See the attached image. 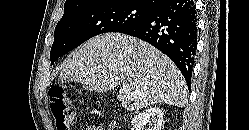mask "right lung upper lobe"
Returning a JSON list of instances; mask_svg holds the SVG:
<instances>
[{"label":"right lung upper lobe","instance_id":"1","mask_svg":"<svg viewBox=\"0 0 249 130\" xmlns=\"http://www.w3.org/2000/svg\"><path fill=\"white\" fill-rule=\"evenodd\" d=\"M107 0H66L64 4V12L69 10L78 9L87 5L95 4L104 2ZM134 2L147 5L150 8L154 9L157 7L160 3H162L165 0H132Z\"/></svg>","mask_w":249,"mask_h":130}]
</instances>
